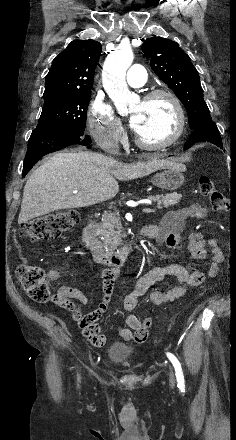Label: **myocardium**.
I'll return each instance as SVG.
<instances>
[{
    "label": "myocardium",
    "mask_w": 236,
    "mask_h": 440,
    "mask_svg": "<svg viewBox=\"0 0 236 440\" xmlns=\"http://www.w3.org/2000/svg\"><path fill=\"white\" fill-rule=\"evenodd\" d=\"M166 97L169 99V101L172 103L175 115H176V127L175 131L172 134V136L160 143H149L144 140H142L137 134L135 135V143L140 148L146 149V150H162L166 149L173 144H175L184 134L185 126H186V117L185 112L182 106V103L180 99L170 90L167 89H155L143 97V101L147 102L153 99Z\"/></svg>",
    "instance_id": "myocardium-1"
}]
</instances>
